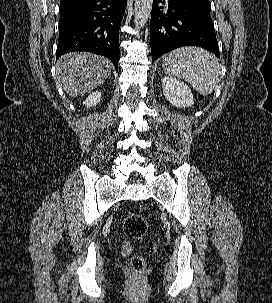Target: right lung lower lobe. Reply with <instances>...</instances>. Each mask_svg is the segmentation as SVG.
Here are the masks:
<instances>
[{"instance_id": "obj_1", "label": "right lung lower lobe", "mask_w": 272, "mask_h": 303, "mask_svg": "<svg viewBox=\"0 0 272 303\" xmlns=\"http://www.w3.org/2000/svg\"><path fill=\"white\" fill-rule=\"evenodd\" d=\"M127 0H85L60 9L56 58L88 51L109 58L118 68L119 28Z\"/></svg>"}]
</instances>
